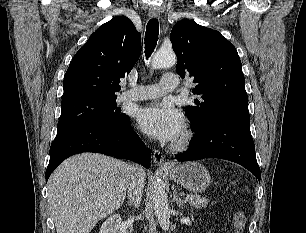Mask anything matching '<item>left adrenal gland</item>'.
<instances>
[{
    "instance_id": "1",
    "label": "left adrenal gland",
    "mask_w": 306,
    "mask_h": 233,
    "mask_svg": "<svg viewBox=\"0 0 306 233\" xmlns=\"http://www.w3.org/2000/svg\"><path fill=\"white\" fill-rule=\"evenodd\" d=\"M173 201L177 204V206L181 207L185 204V201L178 196V192L175 189L173 192Z\"/></svg>"
}]
</instances>
